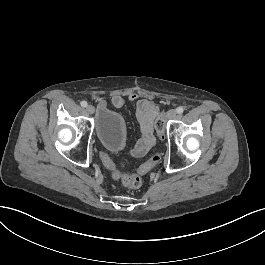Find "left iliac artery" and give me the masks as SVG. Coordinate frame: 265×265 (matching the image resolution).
Segmentation results:
<instances>
[{"label": "left iliac artery", "mask_w": 265, "mask_h": 265, "mask_svg": "<svg viewBox=\"0 0 265 265\" xmlns=\"http://www.w3.org/2000/svg\"><path fill=\"white\" fill-rule=\"evenodd\" d=\"M176 111L178 114H182L184 112V108L182 106H180L176 109Z\"/></svg>", "instance_id": "obj_1"}]
</instances>
